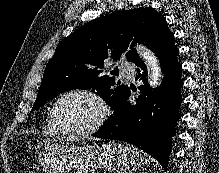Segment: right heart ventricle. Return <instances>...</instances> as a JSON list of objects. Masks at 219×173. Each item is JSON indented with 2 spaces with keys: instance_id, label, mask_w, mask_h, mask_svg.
Returning a JSON list of instances; mask_svg holds the SVG:
<instances>
[{
  "instance_id": "right-heart-ventricle-1",
  "label": "right heart ventricle",
  "mask_w": 219,
  "mask_h": 173,
  "mask_svg": "<svg viewBox=\"0 0 219 173\" xmlns=\"http://www.w3.org/2000/svg\"><path fill=\"white\" fill-rule=\"evenodd\" d=\"M50 112H48L47 114V118H46V124H45V132L50 135V136H59L60 133H58V131L53 127L51 120H50Z\"/></svg>"
}]
</instances>
